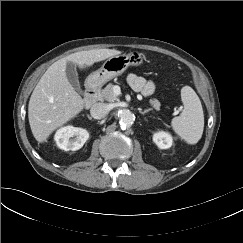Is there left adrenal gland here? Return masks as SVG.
I'll return each instance as SVG.
<instances>
[{
  "instance_id": "obj_1",
  "label": "left adrenal gland",
  "mask_w": 243,
  "mask_h": 243,
  "mask_svg": "<svg viewBox=\"0 0 243 243\" xmlns=\"http://www.w3.org/2000/svg\"><path fill=\"white\" fill-rule=\"evenodd\" d=\"M150 111H151V109H145V110L139 109V112L142 115H144L145 113L150 112Z\"/></svg>"
}]
</instances>
